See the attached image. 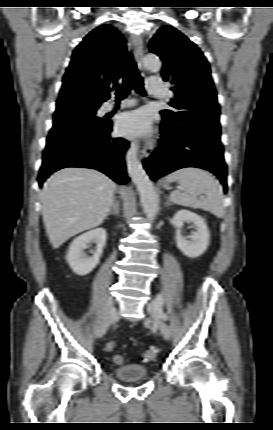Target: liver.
Wrapping results in <instances>:
<instances>
[{"label": "liver", "instance_id": "1", "mask_svg": "<svg viewBox=\"0 0 273 430\" xmlns=\"http://www.w3.org/2000/svg\"><path fill=\"white\" fill-rule=\"evenodd\" d=\"M115 188L112 179L92 168L67 167L51 175L40 199L43 222L53 248L99 226L112 207Z\"/></svg>", "mask_w": 273, "mask_h": 430}]
</instances>
